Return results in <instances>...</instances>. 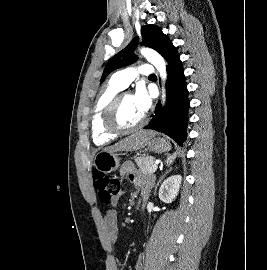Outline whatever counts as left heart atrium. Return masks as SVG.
I'll use <instances>...</instances> for the list:
<instances>
[{"label": "left heart atrium", "instance_id": "left-heart-atrium-1", "mask_svg": "<svg viewBox=\"0 0 267 270\" xmlns=\"http://www.w3.org/2000/svg\"><path fill=\"white\" fill-rule=\"evenodd\" d=\"M132 98L139 112L144 115L151 105V97L144 85L137 86L135 94L132 96Z\"/></svg>", "mask_w": 267, "mask_h": 270}]
</instances>
